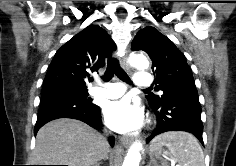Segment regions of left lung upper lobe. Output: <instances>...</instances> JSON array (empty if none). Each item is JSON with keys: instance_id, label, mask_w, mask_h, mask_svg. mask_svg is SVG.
Returning a JSON list of instances; mask_svg holds the SVG:
<instances>
[{"instance_id": "1", "label": "left lung upper lobe", "mask_w": 236, "mask_h": 166, "mask_svg": "<svg viewBox=\"0 0 236 166\" xmlns=\"http://www.w3.org/2000/svg\"><path fill=\"white\" fill-rule=\"evenodd\" d=\"M131 48L133 51H145L153 61L155 89L163 91V95H147L151 107L162 106L179 91H197L185 56L156 28L148 26L141 29L133 39Z\"/></svg>"}]
</instances>
